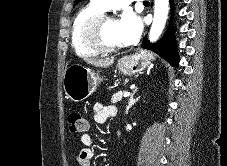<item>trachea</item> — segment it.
I'll return each instance as SVG.
<instances>
[{
	"label": "trachea",
	"mask_w": 227,
	"mask_h": 166,
	"mask_svg": "<svg viewBox=\"0 0 227 166\" xmlns=\"http://www.w3.org/2000/svg\"><path fill=\"white\" fill-rule=\"evenodd\" d=\"M143 3H144V4H149V2H148V1H144Z\"/></svg>",
	"instance_id": "1"
}]
</instances>
